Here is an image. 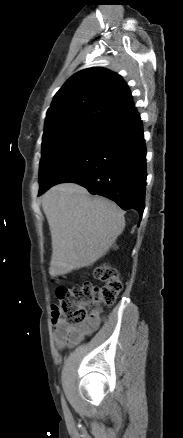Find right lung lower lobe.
<instances>
[{"label": "right lung lower lobe", "instance_id": "1", "mask_svg": "<svg viewBox=\"0 0 183 438\" xmlns=\"http://www.w3.org/2000/svg\"><path fill=\"white\" fill-rule=\"evenodd\" d=\"M146 148L136 108L97 127L91 139L39 195L52 185L75 182L115 201L122 209L145 207Z\"/></svg>", "mask_w": 183, "mask_h": 438}]
</instances>
